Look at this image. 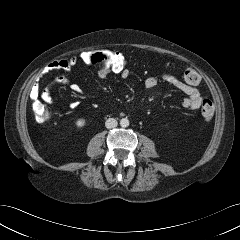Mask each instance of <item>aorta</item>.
I'll use <instances>...</instances> for the list:
<instances>
[{"label": "aorta", "instance_id": "obj_1", "mask_svg": "<svg viewBox=\"0 0 240 240\" xmlns=\"http://www.w3.org/2000/svg\"><path fill=\"white\" fill-rule=\"evenodd\" d=\"M120 125H121V127H128L129 126V120L127 119V118H122L121 120H120Z\"/></svg>", "mask_w": 240, "mask_h": 240}]
</instances>
